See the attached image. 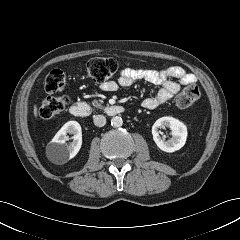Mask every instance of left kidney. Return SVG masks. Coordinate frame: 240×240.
<instances>
[{"mask_svg": "<svg viewBox=\"0 0 240 240\" xmlns=\"http://www.w3.org/2000/svg\"><path fill=\"white\" fill-rule=\"evenodd\" d=\"M169 127L171 130L172 138L168 141L163 140L159 135V128ZM153 139L164 152H175L181 149L187 139V127L184 123L173 117H161L152 126Z\"/></svg>", "mask_w": 240, "mask_h": 240, "instance_id": "left-kidney-1", "label": "left kidney"}]
</instances>
